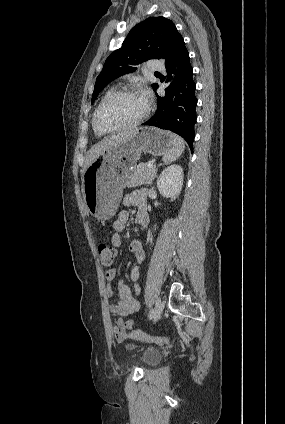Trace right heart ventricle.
Instances as JSON below:
<instances>
[{
  "instance_id": "right-heart-ventricle-1",
  "label": "right heart ventricle",
  "mask_w": 285,
  "mask_h": 424,
  "mask_svg": "<svg viewBox=\"0 0 285 424\" xmlns=\"http://www.w3.org/2000/svg\"><path fill=\"white\" fill-rule=\"evenodd\" d=\"M115 91V89L114 88H110L104 95H103V97L101 98V100L99 101V104L108 96V95H110L111 93H113ZM99 104H98V106H99ZM97 106V107H98ZM93 130H94V133H95V135L97 136V137H102V136H104L105 134H102V133H99L95 128H94V126H93Z\"/></svg>"
}]
</instances>
